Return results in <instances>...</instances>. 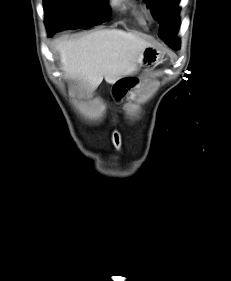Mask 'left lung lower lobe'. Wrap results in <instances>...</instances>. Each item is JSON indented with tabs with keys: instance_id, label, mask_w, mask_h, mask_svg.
Returning <instances> with one entry per match:
<instances>
[{
	"instance_id": "0a47b994",
	"label": "left lung lower lobe",
	"mask_w": 231,
	"mask_h": 281,
	"mask_svg": "<svg viewBox=\"0 0 231 281\" xmlns=\"http://www.w3.org/2000/svg\"><path fill=\"white\" fill-rule=\"evenodd\" d=\"M178 30H175L174 32H172V38L174 39L175 41V46H176V49L179 48V39L177 38L176 34H177Z\"/></svg>"
}]
</instances>
